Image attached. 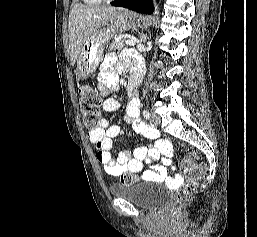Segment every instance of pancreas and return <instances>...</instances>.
<instances>
[{"label":"pancreas","instance_id":"cf45deb5","mask_svg":"<svg viewBox=\"0 0 257 237\" xmlns=\"http://www.w3.org/2000/svg\"><path fill=\"white\" fill-rule=\"evenodd\" d=\"M125 42H126V39L113 40L112 43H110L109 49L110 50L124 49L125 48Z\"/></svg>","mask_w":257,"mask_h":237}]
</instances>
